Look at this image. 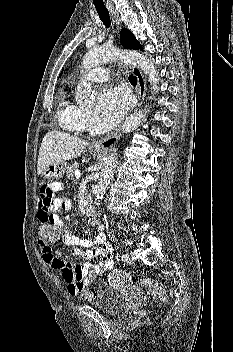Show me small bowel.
<instances>
[{
	"label": "small bowel",
	"instance_id": "small-bowel-1",
	"mask_svg": "<svg viewBox=\"0 0 233 352\" xmlns=\"http://www.w3.org/2000/svg\"><path fill=\"white\" fill-rule=\"evenodd\" d=\"M63 187L62 182L43 185L40 189L37 212L40 223H49L65 232L63 242L54 250L41 240H39V245L45 263L61 273L67 283L68 292L76 295L95 279L101 277L105 271L113 268L112 250L105 243V236L102 233H99L91 241L68 231L71 217L64 213L70 209V201L64 197L56 196L63 190ZM64 245L86 248L87 261L77 265L67 261L63 254ZM73 253L79 255L80 250L75 248Z\"/></svg>",
	"mask_w": 233,
	"mask_h": 352
}]
</instances>
